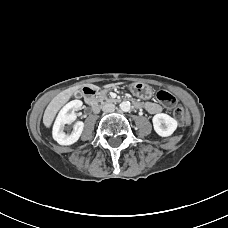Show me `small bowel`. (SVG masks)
<instances>
[{
  "label": "small bowel",
  "mask_w": 228,
  "mask_h": 228,
  "mask_svg": "<svg viewBox=\"0 0 228 228\" xmlns=\"http://www.w3.org/2000/svg\"><path fill=\"white\" fill-rule=\"evenodd\" d=\"M135 105L139 109H145L150 114H157L162 111V107L156 102H136Z\"/></svg>",
  "instance_id": "c3829d8e"
}]
</instances>
